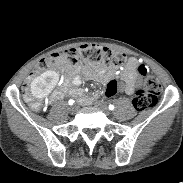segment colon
<instances>
[{"mask_svg":"<svg viewBox=\"0 0 183 183\" xmlns=\"http://www.w3.org/2000/svg\"><path fill=\"white\" fill-rule=\"evenodd\" d=\"M80 60L89 63H101L107 66L119 67L127 62V56L124 53L116 52L109 48L101 47L96 44H85L78 48L68 49L62 52L50 54L42 58L34 69V73H39L56 65L72 66ZM137 72L144 78L143 86L140 87L133 99L134 107L141 111L153 107L159 94L161 93V85L157 78L149 74L144 65L137 66ZM120 83L117 80H111L106 87L105 95L112 97L119 91ZM25 96L29 98L25 87ZM39 103L33 102V106L37 107Z\"/></svg>","mask_w":183,"mask_h":183,"instance_id":"1","label":"colon"}]
</instances>
